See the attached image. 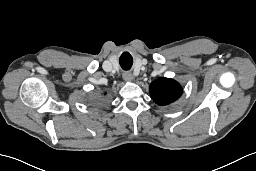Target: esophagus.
Here are the masks:
<instances>
[{
	"label": "esophagus",
	"instance_id": "34e87169",
	"mask_svg": "<svg viewBox=\"0 0 256 171\" xmlns=\"http://www.w3.org/2000/svg\"><path fill=\"white\" fill-rule=\"evenodd\" d=\"M123 79L125 81L131 82V81H133L134 77L130 72H125V73H123Z\"/></svg>",
	"mask_w": 256,
	"mask_h": 171
}]
</instances>
